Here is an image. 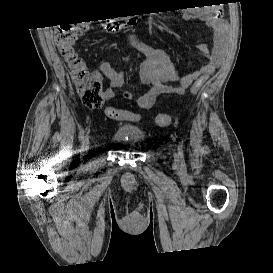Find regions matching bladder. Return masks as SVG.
<instances>
[{"label":"bladder","mask_w":273,"mask_h":273,"mask_svg":"<svg viewBox=\"0 0 273 273\" xmlns=\"http://www.w3.org/2000/svg\"><path fill=\"white\" fill-rule=\"evenodd\" d=\"M143 132L134 125L131 124H120L115 129L112 140L124 147H137L144 142Z\"/></svg>","instance_id":"31cf9c89"}]
</instances>
